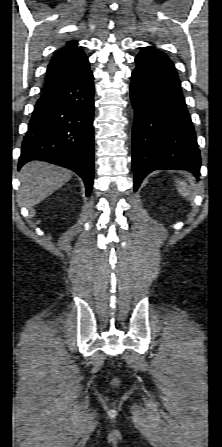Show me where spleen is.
Returning a JSON list of instances; mask_svg holds the SVG:
<instances>
[{"label":"spleen","instance_id":"spleen-1","mask_svg":"<svg viewBox=\"0 0 222 447\" xmlns=\"http://www.w3.org/2000/svg\"><path fill=\"white\" fill-rule=\"evenodd\" d=\"M178 185V191L183 197L189 196V190L187 189V184L182 181H177Z\"/></svg>","mask_w":222,"mask_h":447}]
</instances>
